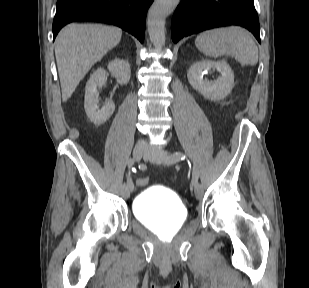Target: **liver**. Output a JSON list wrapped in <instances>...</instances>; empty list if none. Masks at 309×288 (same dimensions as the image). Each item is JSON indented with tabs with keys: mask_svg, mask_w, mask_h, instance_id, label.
<instances>
[{
	"mask_svg": "<svg viewBox=\"0 0 309 288\" xmlns=\"http://www.w3.org/2000/svg\"><path fill=\"white\" fill-rule=\"evenodd\" d=\"M122 30L98 24L65 26L55 41V56L66 102L91 67L120 42Z\"/></svg>",
	"mask_w": 309,
	"mask_h": 288,
	"instance_id": "6515ba94",
	"label": "liver"
}]
</instances>
